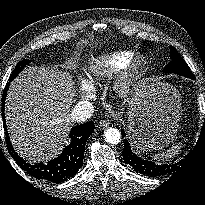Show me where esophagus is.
<instances>
[{"instance_id": "obj_1", "label": "esophagus", "mask_w": 205, "mask_h": 205, "mask_svg": "<svg viewBox=\"0 0 205 205\" xmlns=\"http://www.w3.org/2000/svg\"><path fill=\"white\" fill-rule=\"evenodd\" d=\"M109 125H110L109 120H101V121H99V126L101 128H103V129L109 127Z\"/></svg>"}]
</instances>
